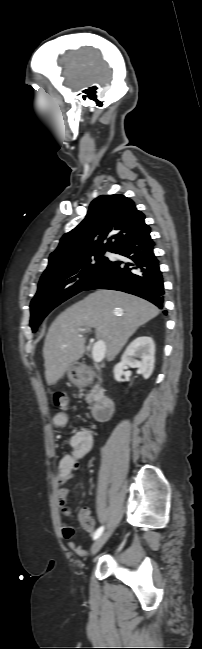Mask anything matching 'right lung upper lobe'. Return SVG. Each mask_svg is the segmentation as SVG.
Instances as JSON below:
<instances>
[{
  "label": "right lung upper lobe",
  "instance_id": "cb5924a9",
  "mask_svg": "<svg viewBox=\"0 0 202 649\" xmlns=\"http://www.w3.org/2000/svg\"><path fill=\"white\" fill-rule=\"evenodd\" d=\"M144 219V214L124 195L99 196L91 202L85 219L61 238L42 277L66 270L71 261L86 253L114 250L149 228Z\"/></svg>",
  "mask_w": 202,
  "mask_h": 649
}]
</instances>
